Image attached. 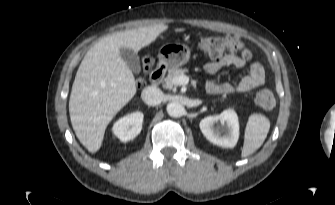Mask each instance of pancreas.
Here are the masks:
<instances>
[{
  "mask_svg": "<svg viewBox=\"0 0 335 205\" xmlns=\"http://www.w3.org/2000/svg\"><path fill=\"white\" fill-rule=\"evenodd\" d=\"M188 72L187 69H181L177 67H173L168 70V75L164 79L165 81V87L168 89H174L177 84L173 83V79L179 76L185 75V73Z\"/></svg>",
  "mask_w": 335,
  "mask_h": 205,
  "instance_id": "obj_1",
  "label": "pancreas"
}]
</instances>
